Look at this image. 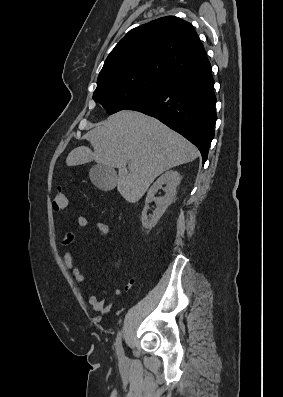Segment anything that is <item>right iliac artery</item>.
<instances>
[{
    "label": "right iliac artery",
    "instance_id": "obj_1",
    "mask_svg": "<svg viewBox=\"0 0 283 397\" xmlns=\"http://www.w3.org/2000/svg\"><path fill=\"white\" fill-rule=\"evenodd\" d=\"M115 346H116V352H117L119 358L123 359L124 358V351H123V348H122L121 332H119L118 335H117Z\"/></svg>",
    "mask_w": 283,
    "mask_h": 397
}]
</instances>
